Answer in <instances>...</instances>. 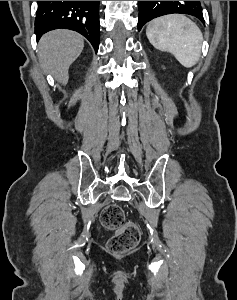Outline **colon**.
<instances>
[{
  "mask_svg": "<svg viewBox=\"0 0 237 300\" xmlns=\"http://www.w3.org/2000/svg\"><path fill=\"white\" fill-rule=\"evenodd\" d=\"M101 224L114 232L107 243L113 254H125L132 251L139 243L140 231L132 221L125 220L123 209L117 204L106 206L100 214Z\"/></svg>",
  "mask_w": 237,
  "mask_h": 300,
  "instance_id": "obj_1",
  "label": "colon"
}]
</instances>
